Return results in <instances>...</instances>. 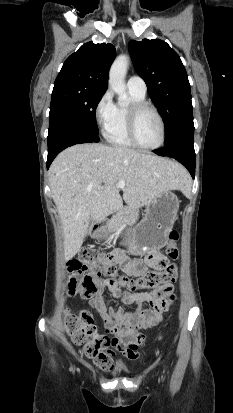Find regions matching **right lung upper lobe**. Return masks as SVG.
I'll return each mask as SVG.
<instances>
[{"instance_id":"obj_1","label":"right lung upper lobe","mask_w":233,"mask_h":413,"mask_svg":"<svg viewBox=\"0 0 233 413\" xmlns=\"http://www.w3.org/2000/svg\"><path fill=\"white\" fill-rule=\"evenodd\" d=\"M115 55V47L110 43H85L66 59L54 86L72 85L105 92Z\"/></svg>"}]
</instances>
